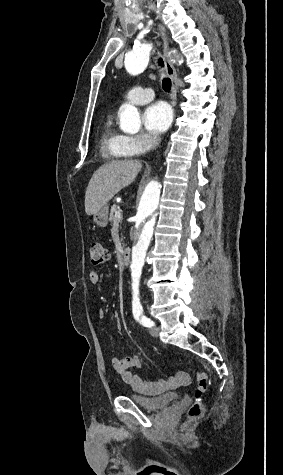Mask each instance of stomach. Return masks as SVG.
I'll return each instance as SVG.
<instances>
[{"label": "stomach", "instance_id": "1", "mask_svg": "<svg viewBox=\"0 0 283 475\" xmlns=\"http://www.w3.org/2000/svg\"><path fill=\"white\" fill-rule=\"evenodd\" d=\"M108 214H109V208L106 204V206H103V208H100L99 212H96V214H93V222L97 224V226H101V228H105L108 224Z\"/></svg>", "mask_w": 283, "mask_h": 475}]
</instances>
